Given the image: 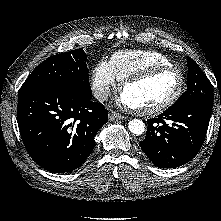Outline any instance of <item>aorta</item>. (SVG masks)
<instances>
[{"instance_id": "1", "label": "aorta", "mask_w": 221, "mask_h": 221, "mask_svg": "<svg viewBox=\"0 0 221 221\" xmlns=\"http://www.w3.org/2000/svg\"><path fill=\"white\" fill-rule=\"evenodd\" d=\"M129 130L135 135H141L145 131V124L140 119H133L128 124Z\"/></svg>"}]
</instances>
